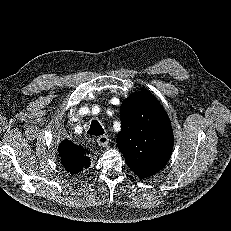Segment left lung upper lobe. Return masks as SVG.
Listing matches in <instances>:
<instances>
[{"instance_id":"obj_1","label":"left lung upper lobe","mask_w":231,"mask_h":231,"mask_svg":"<svg viewBox=\"0 0 231 231\" xmlns=\"http://www.w3.org/2000/svg\"><path fill=\"white\" fill-rule=\"evenodd\" d=\"M122 129L117 145L126 164L140 178H147L169 161L173 135L169 117L158 100L147 91H139L121 106Z\"/></svg>"}]
</instances>
